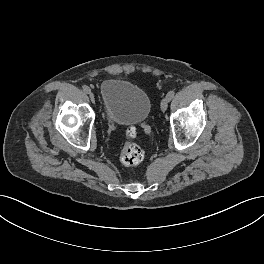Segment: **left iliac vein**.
I'll list each match as a JSON object with an SVG mask.
<instances>
[{
  "instance_id": "1",
  "label": "left iliac vein",
  "mask_w": 264,
  "mask_h": 264,
  "mask_svg": "<svg viewBox=\"0 0 264 264\" xmlns=\"http://www.w3.org/2000/svg\"><path fill=\"white\" fill-rule=\"evenodd\" d=\"M169 100L167 98L162 99L160 107L162 111H165L168 107Z\"/></svg>"
}]
</instances>
